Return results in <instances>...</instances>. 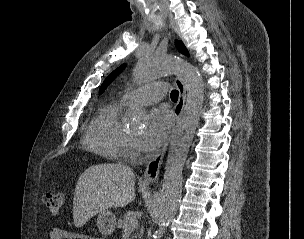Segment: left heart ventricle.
<instances>
[{
	"instance_id": "left-heart-ventricle-1",
	"label": "left heart ventricle",
	"mask_w": 304,
	"mask_h": 239,
	"mask_svg": "<svg viewBox=\"0 0 304 239\" xmlns=\"http://www.w3.org/2000/svg\"><path fill=\"white\" fill-rule=\"evenodd\" d=\"M130 135L133 137V138H136L140 135V132L139 131H136V132H131Z\"/></svg>"
}]
</instances>
